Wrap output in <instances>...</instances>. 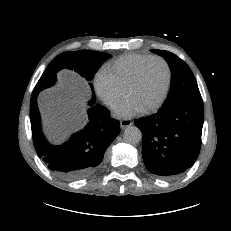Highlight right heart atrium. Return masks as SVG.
I'll use <instances>...</instances> for the list:
<instances>
[{
	"mask_svg": "<svg viewBox=\"0 0 231 231\" xmlns=\"http://www.w3.org/2000/svg\"><path fill=\"white\" fill-rule=\"evenodd\" d=\"M94 86L98 96L108 107L116 106L125 95V90L104 68L96 74Z\"/></svg>",
	"mask_w": 231,
	"mask_h": 231,
	"instance_id": "1",
	"label": "right heart atrium"
}]
</instances>
